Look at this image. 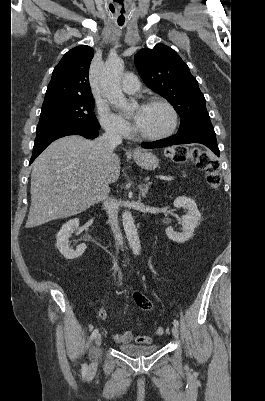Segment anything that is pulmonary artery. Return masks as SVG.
I'll list each match as a JSON object with an SVG mask.
<instances>
[{"instance_id":"obj_1","label":"pulmonary artery","mask_w":265,"mask_h":401,"mask_svg":"<svg viewBox=\"0 0 265 401\" xmlns=\"http://www.w3.org/2000/svg\"><path fill=\"white\" fill-rule=\"evenodd\" d=\"M121 88H123L126 95H135L137 93V89L139 88L137 75H125L124 83H121Z\"/></svg>"}]
</instances>
